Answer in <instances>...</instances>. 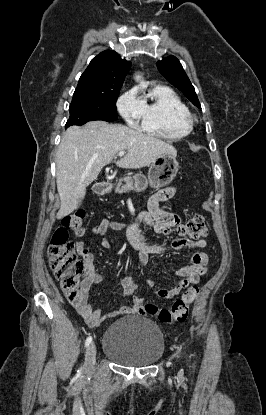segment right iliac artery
I'll list each match as a JSON object with an SVG mask.
<instances>
[{"label": "right iliac artery", "mask_w": 266, "mask_h": 415, "mask_svg": "<svg viewBox=\"0 0 266 415\" xmlns=\"http://www.w3.org/2000/svg\"><path fill=\"white\" fill-rule=\"evenodd\" d=\"M92 342V337L91 336H89V337H87V339H86V341H85V346L87 347V346H89V344ZM81 374V370H78V375H80Z\"/></svg>", "instance_id": "right-iliac-artery-1"}]
</instances>
